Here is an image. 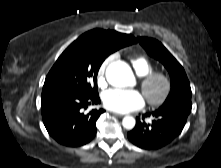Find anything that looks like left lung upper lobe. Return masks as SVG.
<instances>
[{
    "label": "left lung upper lobe",
    "instance_id": "1",
    "mask_svg": "<svg viewBox=\"0 0 221 168\" xmlns=\"http://www.w3.org/2000/svg\"><path fill=\"white\" fill-rule=\"evenodd\" d=\"M137 39L151 57H154L165 66L170 75L171 90L165 102L158 110L172 108L191 110L190 83L180 63L159 41L145 37H138Z\"/></svg>",
    "mask_w": 221,
    "mask_h": 168
}]
</instances>
